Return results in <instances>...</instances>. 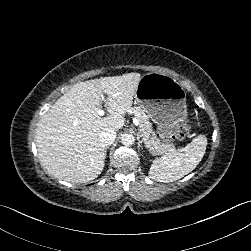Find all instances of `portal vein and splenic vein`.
<instances>
[{
	"label": "portal vein and splenic vein",
	"mask_w": 251,
	"mask_h": 251,
	"mask_svg": "<svg viewBox=\"0 0 251 251\" xmlns=\"http://www.w3.org/2000/svg\"><path fill=\"white\" fill-rule=\"evenodd\" d=\"M97 114H98L99 116H103V115H104V111L101 110V109H98V110H97ZM132 121H133V123L137 124V123H138V118H137V117H132Z\"/></svg>",
	"instance_id": "1"
}]
</instances>
